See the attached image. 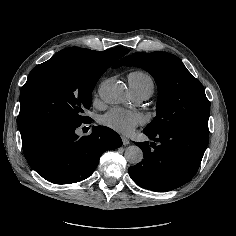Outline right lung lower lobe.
<instances>
[{
    "instance_id": "1",
    "label": "right lung lower lobe",
    "mask_w": 236,
    "mask_h": 236,
    "mask_svg": "<svg viewBox=\"0 0 236 236\" xmlns=\"http://www.w3.org/2000/svg\"><path fill=\"white\" fill-rule=\"evenodd\" d=\"M81 125L59 124L47 127L22 141L28 164L44 179L56 184H70L88 178L103 152L122 145L111 128L93 126L92 133L79 137Z\"/></svg>"
}]
</instances>
